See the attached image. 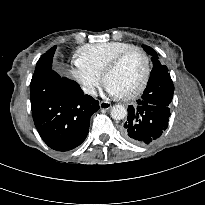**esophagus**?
<instances>
[{
    "instance_id": "obj_1",
    "label": "esophagus",
    "mask_w": 205,
    "mask_h": 205,
    "mask_svg": "<svg viewBox=\"0 0 205 205\" xmlns=\"http://www.w3.org/2000/svg\"><path fill=\"white\" fill-rule=\"evenodd\" d=\"M99 106H100L101 109L107 110V109L111 108V103L106 102V101H101L99 103Z\"/></svg>"
}]
</instances>
